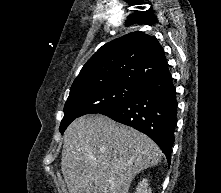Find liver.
Instances as JSON below:
<instances>
[{"instance_id":"obj_1","label":"liver","mask_w":221,"mask_h":193,"mask_svg":"<svg viewBox=\"0 0 221 193\" xmlns=\"http://www.w3.org/2000/svg\"><path fill=\"white\" fill-rule=\"evenodd\" d=\"M160 148L145 134L103 115L74 120L64 134L61 170L70 193H128Z\"/></svg>"}]
</instances>
